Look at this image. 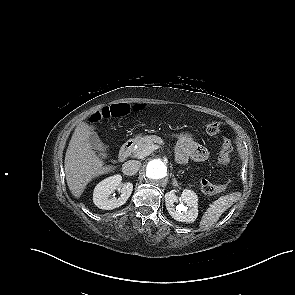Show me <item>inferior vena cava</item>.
<instances>
[{"instance_id": "1", "label": "inferior vena cava", "mask_w": 295, "mask_h": 295, "mask_svg": "<svg viewBox=\"0 0 295 295\" xmlns=\"http://www.w3.org/2000/svg\"><path fill=\"white\" fill-rule=\"evenodd\" d=\"M140 166H141V163L139 161L130 160V161H127L123 164L122 172L125 175L132 176L138 172Z\"/></svg>"}]
</instances>
